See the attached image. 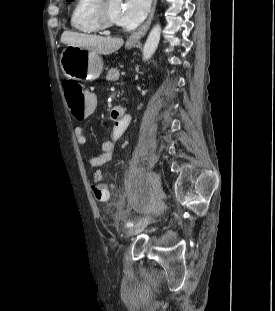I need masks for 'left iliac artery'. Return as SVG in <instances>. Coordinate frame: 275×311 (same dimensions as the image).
Returning a JSON list of instances; mask_svg holds the SVG:
<instances>
[{
  "label": "left iliac artery",
  "instance_id": "44dca946",
  "mask_svg": "<svg viewBox=\"0 0 275 311\" xmlns=\"http://www.w3.org/2000/svg\"><path fill=\"white\" fill-rule=\"evenodd\" d=\"M133 225H134V223L131 222V221H129V222L126 223V227H128V228H129V227H132Z\"/></svg>",
  "mask_w": 275,
  "mask_h": 311
}]
</instances>
